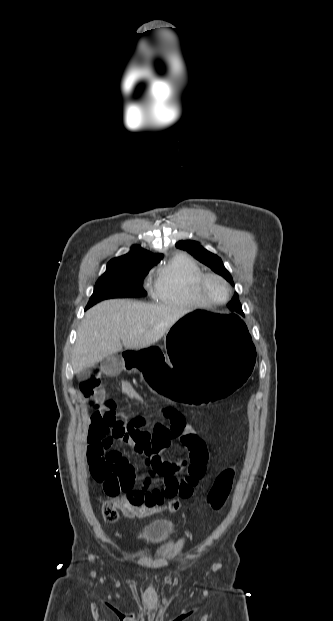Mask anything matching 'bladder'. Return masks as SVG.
<instances>
[{
	"label": "bladder",
	"instance_id": "31cf9c89",
	"mask_svg": "<svg viewBox=\"0 0 333 621\" xmlns=\"http://www.w3.org/2000/svg\"><path fill=\"white\" fill-rule=\"evenodd\" d=\"M175 523L168 519L155 520L140 530L138 537L142 543H163L175 533Z\"/></svg>",
	"mask_w": 333,
	"mask_h": 621
}]
</instances>
